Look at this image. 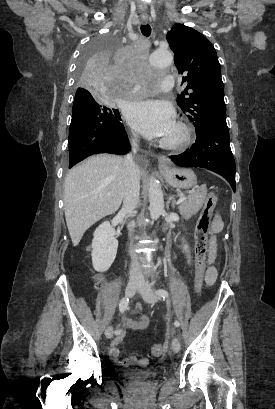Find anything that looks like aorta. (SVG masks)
<instances>
[{
  "label": "aorta",
  "instance_id": "aorta-1",
  "mask_svg": "<svg viewBox=\"0 0 275 409\" xmlns=\"http://www.w3.org/2000/svg\"><path fill=\"white\" fill-rule=\"evenodd\" d=\"M146 59L149 65H168L171 64L173 56L169 51H147ZM148 192L150 217L151 219H159L162 211H164V198L163 192L158 188V182L154 176H150Z\"/></svg>",
  "mask_w": 275,
  "mask_h": 409
}]
</instances>
